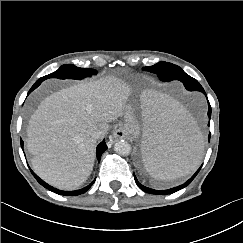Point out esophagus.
<instances>
[{"instance_id": "1", "label": "esophagus", "mask_w": 243, "mask_h": 243, "mask_svg": "<svg viewBox=\"0 0 243 243\" xmlns=\"http://www.w3.org/2000/svg\"><path fill=\"white\" fill-rule=\"evenodd\" d=\"M127 137V131L123 128H118L112 135V140L125 139ZM111 140V141H112Z\"/></svg>"}]
</instances>
